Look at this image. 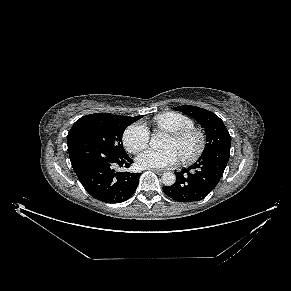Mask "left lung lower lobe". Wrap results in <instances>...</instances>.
<instances>
[{
    "mask_svg": "<svg viewBox=\"0 0 291 291\" xmlns=\"http://www.w3.org/2000/svg\"><path fill=\"white\" fill-rule=\"evenodd\" d=\"M230 148L222 147L201 156L192 166L175 172L176 182L163 187L164 193L178 202L204 199L218 184L228 163Z\"/></svg>",
    "mask_w": 291,
    "mask_h": 291,
    "instance_id": "left-lung-lower-lobe-1",
    "label": "left lung lower lobe"
}]
</instances>
